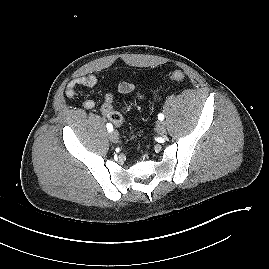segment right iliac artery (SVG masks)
Wrapping results in <instances>:
<instances>
[{"label":"right iliac artery","instance_id":"right-iliac-artery-1","mask_svg":"<svg viewBox=\"0 0 269 269\" xmlns=\"http://www.w3.org/2000/svg\"><path fill=\"white\" fill-rule=\"evenodd\" d=\"M106 127H107V130H108L109 132L113 131V126H112V124L107 123Z\"/></svg>","mask_w":269,"mask_h":269}]
</instances>
